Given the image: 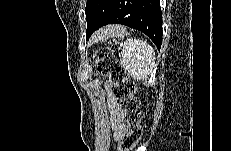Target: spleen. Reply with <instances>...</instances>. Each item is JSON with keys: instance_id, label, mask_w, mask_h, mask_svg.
<instances>
[{"instance_id": "spleen-1", "label": "spleen", "mask_w": 231, "mask_h": 151, "mask_svg": "<svg viewBox=\"0 0 231 151\" xmlns=\"http://www.w3.org/2000/svg\"><path fill=\"white\" fill-rule=\"evenodd\" d=\"M121 65L135 80H146L155 65V51L145 40L129 38L119 54Z\"/></svg>"}]
</instances>
